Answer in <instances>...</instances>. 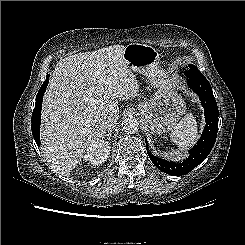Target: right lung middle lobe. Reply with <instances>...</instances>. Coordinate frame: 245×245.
Listing matches in <instances>:
<instances>
[{"label":"right lung middle lobe","instance_id":"1","mask_svg":"<svg viewBox=\"0 0 245 245\" xmlns=\"http://www.w3.org/2000/svg\"><path fill=\"white\" fill-rule=\"evenodd\" d=\"M48 81H49V76L46 77V80H45V82L43 83V85L41 86V88L39 89V92L41 91L42 87H44V86L47 87ZM39 92H38V93H39ZM37 95H38V94H37Z\"/></svg>","mask_w":245,"mask_h":245}]
</instances>
